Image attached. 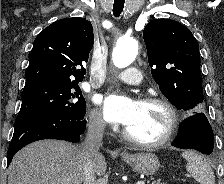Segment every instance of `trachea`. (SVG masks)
I'll list each match as a JSON object with an SVG mask.
<instances>
[{"label": "trachea", "mask_w": 224, "mask_h": 184, "mask_svg": "<svg viewBox=\"0 0 224 184\" xmlns=\"http://www.w3.org/2000/svg\"><path fill=\"white\" fill-rule=\"evenodd\" d=\"M125 0H114L113 14L115 17H119L124 8Z\"/></svg>", "instance_id": "3493384b"}]
</instances>
